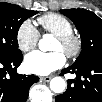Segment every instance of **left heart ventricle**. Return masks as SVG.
<instances>
[{
  "mask_svg": "<svg viewBox=\"0 0 102 102\" xmlns=\"http://www.w3.org/2000/svg\"><path fill=\"white\" fill-rule=\"evenodd\" d=\"M52 50L63 52V48L57 40L54 41Z\"/></svg>",
  "mask_w": 102,
  "mask_h": 102,
  "instance_id": "1",
  "label": "left heart ventricle"
}]
</instances>
